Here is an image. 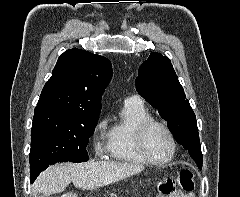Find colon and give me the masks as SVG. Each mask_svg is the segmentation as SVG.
Returning <instances> with one entry per match:
<instances>
[{
	"label": "colon",
	"mask_w": 240,
	"mask_h": 197,
	"mask_svg": "<svg viewBox=\"0 0 240 197\" xmlns=\"http://www.w3.org/2000/svg\"><path fill=\"white\" fill-rule=\"evenodd\" d=\"M177 183L184 192H191L195 186L194 174L191 170H182L178 177L174 180H168L165 183L160 184L159 191L163 195H168L173 191L174 184ZM59 197H77L73 192L64 193ZM109 197H116L111 195Z\"/></svg>",
	"instance_id": "obj_1"
}]
</instances>
